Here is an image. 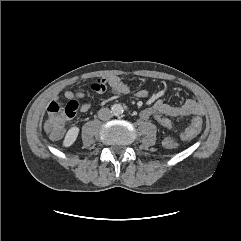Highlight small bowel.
<instances>
[{
    "mask_svg": "<svg viewBox=\"0 0 241 241\" xmlns=\"http://www.w3.org/2000/svg\"><path fill=\"white\" fill-rule=\"evenodd\" d=\"M106 83L110 93L115 95H127L130 93L129 87L126 83L118 76H110L106 79ZM137 98H146L148 96V91L146 89L137 90L135 93ZM67 99L74 100L77 98L84 97V93L81 91H71L67 90L64 93ZM152 106L142 110L141 117L143 119H150L153 117V114L160 113L165 115L168 118L176 117H200L204 114L203 105L194 100L188 99L180 106H174L163 100L161 97H155L151 100ZM92 105L90 103H83L79 106V110L82 113L88 112L91 109ZM186 139L185 137H182Z\"/></svg>",
    "mask_w": 241,
    "mask_h": 241,
    "instance_id": "small-bowel-1",
    "label": "small bowel"
}]
</instances>
